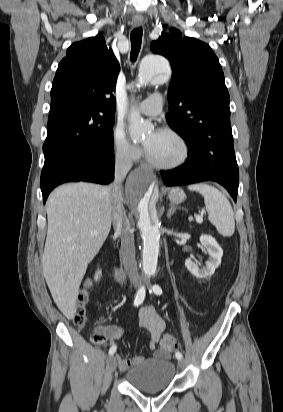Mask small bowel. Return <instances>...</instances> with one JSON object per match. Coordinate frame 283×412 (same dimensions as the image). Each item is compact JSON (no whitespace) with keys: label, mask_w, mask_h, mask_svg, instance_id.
<instances>
[{"label":"small bowel","mask_w":283,"mask_h":412,"mask_svg":"<svg viewBox=\"0 0 283 412\" xmlns=\"http://www.w3.org/2000/svg\"><path fill=\"white\" fill-rule=\"evenodd\" d=\"M139 322L141 327L150 333L149 349L155 352L156 357H163L162 353L157 351V344L165 329L164 318L156 312L152 305H145L139 310ZM101 330L108 336L110 344H113L114 341L119 339L124 333L123 329L116 325H106L103 326ZM116 360L119 362L120 371L125 372L141 363L144 357L138 356L130 359L117 357Z\"/></svg>","instance_id":"obj_1"}]
</instances>
